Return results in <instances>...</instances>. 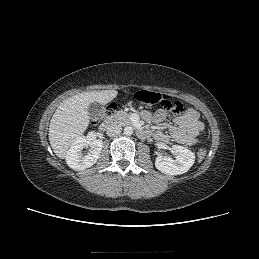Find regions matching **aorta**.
<instances>
[{
    "label": "aorta",
    "instance_id": "obj_1",
    "mask_svg": "<svg viewBox=\"0 0 259 259\" xmlns=\"http://www.w3.org/2000/svg\"><path fill=\"white\" fill-rule=\"evenodd\" d=\"M124 134H125L126 136L132 135V134H133V128H132L131 126H126V127L124 128Z\"/></svg>",
    "mask_w": 259,
    "mask_h": 259
}]
</instances>
